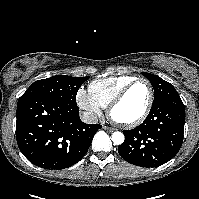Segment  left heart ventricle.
I'll list each match as a JSON object with an SVG mask.
<instances>
[{
    "label": "left heart ventricle",
    "mask_w": 199,
    "mask_h": 199,
    "mask_svg": "<svg viewBox=\"0 0 199 199\" xmlns=\"http://www.w3.org/2000/svg\"><path fill=\"white\" fill-rule=\"evenodd\" d=\"M148 97V85L144 82L135 84L128 91L123 101L114 108L113 118L127 122L139 117L146 107Z\"/></svg>",
    "instance_id": "1"
}]
</instances>
